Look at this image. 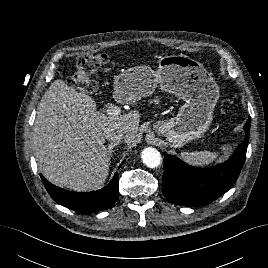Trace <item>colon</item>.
Masks as SVG:
<instances>
[{
    "instance_id": "5ec220e1",
    "label": "colon",
    "mask_w": 268,
    "mask_h": 268,
    "mask_svg": "<svg viewBox=\"0 0 268 268\" xmlns=\"http://www.w3.org/2000/svg\"><path fill=\"white\" fill-rule=\"evenodd\" d=\"M107 62L108 57L105 54H94L80 58L76 65V71L67 80L68 85L93 94L97 89V83L92 79V76Z\"/></svg>"
}]
</instances>
